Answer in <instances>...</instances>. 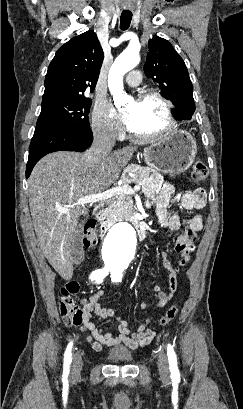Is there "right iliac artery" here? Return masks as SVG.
Instances as JSON below:
<instances>
[{
  "instance_id": "right-iliac-artery-1",
  "label": "right iliac artery",
  "mask_w": 243,
  "mask_h": 409,
  "mask_svg": "<svg viewBox=\"0 0 243 409\" xmlns=\"http://www.w3.org/2000/svg\"><path fill=\"white\" fill-rule=\"evenodd\" d=\"M109 271L110 270L108 268L95 270L91 273L90 279L92 281H95V283H101L103 279L109 274ZM71 350H72V342L68 344L67 349L65 351L63 379H66L69 374L70 364L72 361Z\"/></svg>"
}]
</instances>
